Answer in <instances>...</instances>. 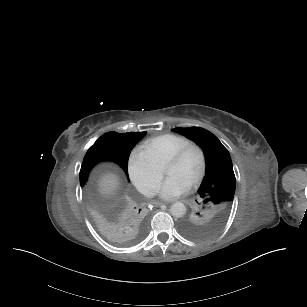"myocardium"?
<instances>
[{"mask_svg": "<svg viewBox=\"0 0 307 307\" xmlns=\"http://www.w3.org/2000/svg\"><path fill=\"white\" fill-rule=\"evenodd\" d=\"M194 147H198L201 151L202 167H201V170L199 171V173L189 182L190 186H193V185L199 183L205 177V175L207 173L209 160H208V153H207V150L205 149L204 145L202 143L198 142V141L192 140L189 143L183 145L181 148H179L173 154L167 156L164 160V162H169V163L179 162L185 157L187 152Z\"/></svg>", "mask_w": 307, "mask_h": 307, "instance_id": "obj_1", "label": "myocardium"}]
</instances>
